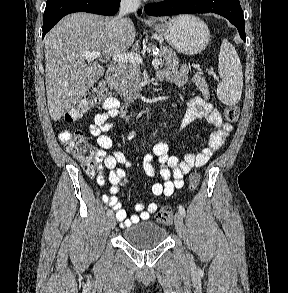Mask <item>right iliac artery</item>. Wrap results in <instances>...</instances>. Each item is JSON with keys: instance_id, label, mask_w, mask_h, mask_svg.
<instances>
[{"instance_id": "82829eb1", "label": "right iliac artery", "mask_w": 288, "mask_h": 293, "mask_svg": "<svg viewBox=\"0 0 288 293\" xmlns=\"http://www.w3.org/2000/svg\"><path fill=\"white\" fill-rule=\"evenodd\" d=\"M134 135H135V132L130 133L129 136H128V139L133 138ZM112 214H113L112 210H108V211H107V215H108V216H111Z\"/></svg>"}]
</instances>
